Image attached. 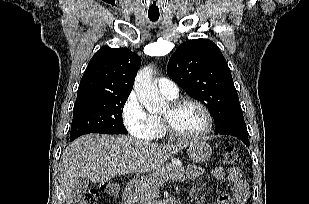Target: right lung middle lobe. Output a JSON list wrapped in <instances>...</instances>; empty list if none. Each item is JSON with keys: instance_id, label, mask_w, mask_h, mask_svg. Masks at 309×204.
Here are the masks:
<instances>
[{"instance_id": "1", "label": "right lung middle lobe", "mask_w": 309, "mask_h": 204, "mask_svg": "<svg viewBox=\"0 0 309 204\" xmlns=\"http://www.w3.org/2000/svg\"><path fill=\"white\" fill-rule=\"evenodd\" d=\"M128 96H106L75 103L70 139L87 133L127 134L122 111Z\"/></svg>"}]
</instances>
